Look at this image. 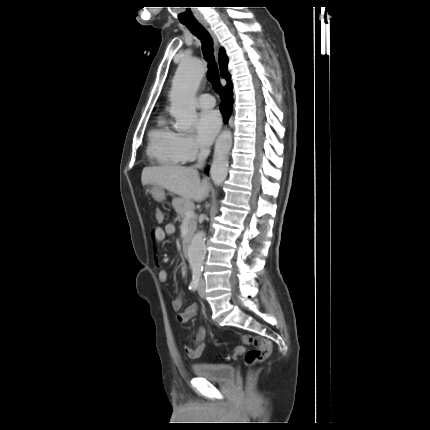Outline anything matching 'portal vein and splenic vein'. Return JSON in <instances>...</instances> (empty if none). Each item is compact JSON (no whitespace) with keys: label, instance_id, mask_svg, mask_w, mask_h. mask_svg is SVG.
Listing matches in <instances>:
<instances>
[{"label":"portal vein and splenic vein","instance_id":"portal-vein-and-splenic-vein-1","mask_svg":"<svg viewBox=\"0 0 430 430\" xmlns=\"http://www.w3.org/2000/svg\"><path fill=\"white\" fill-rule=\"evenodd\" d=\"M194 216V210L190 209L185 212V219H190Z\"/></svg>","mask_w":430,"mask_h":430}]
</instances>
